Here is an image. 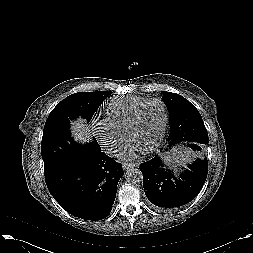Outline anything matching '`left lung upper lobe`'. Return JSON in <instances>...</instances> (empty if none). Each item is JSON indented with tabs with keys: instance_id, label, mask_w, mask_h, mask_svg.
Returning a JSON list of instances; mask_svg holds the SVG:
<instances>
[{
	"instance_id": "obj_1",
	"label": "left lung upper lobe",
	"mask_w": 253,
	"mask_h": 253,
	"mask_svg": "<svg viewBox=\"0 0 253 253\" xmlns=\"http://www.w3.org/2000/svg\"><path fill=\"white\" fill-rule=\"evenodd\" d=\"M162 99L169 110L168 146L180 142L208 144V132L196 107L179 94L164 91Z\"/></svg>"
}]
</instances>
